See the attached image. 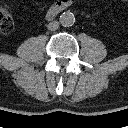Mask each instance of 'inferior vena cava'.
<instances>
[{
  "instance_id": "602c4592",
  "label": "inferior vena cava",
  "mask_w": 128,
  "mask_h": 128,
  "mask_svg": "<svg viewBox=\"0 0 128 128\" xmlns=\"http://www.w3.org/2000/svg\"><path fill=\"white\" fill-rule=\"evenodd\" d=\"M47 28L50 30V31H55L59 28V22L58 21H52L48 24Z\"/></svg>"
}]
</instances>
